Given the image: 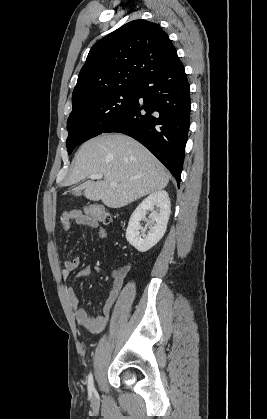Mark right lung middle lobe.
<instances>
[{
    "label": "right lung middle lobe",
    "instance_id": "right-lung-middle-lobe-1",
    "mask_svg": "<svg viewBox=\"0 0 267 419\" xmlns=\"http://www.w3.org/2000/svg\"><path fill=\"white\" fill-rule=\"evenodd\" d=\"M137 94L138 87H127L94 94L73 104L67 121L68 154L118 121L133 104Z\"/></svg>",
    "mask_w": 267,
    "mask_h": 419
}]
</instances>
